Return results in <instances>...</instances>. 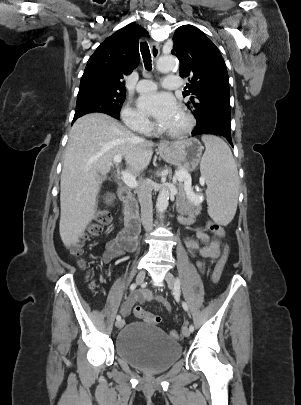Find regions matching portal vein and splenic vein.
Here are the masks:
<instances>
[{
	"mask_svg": "<svg viewBox=\"0 0 301 405\" xmlns=\"http://www.w3.org/2000/svg\"><path fill=\"white\" fill-rule=\"evenodd\" d=\"M113 161L118 164L122 161V156L121 155H115L113 158ZM121 178L123 180V182L129 187V188H135L138 186V183L136 181L135 176H133L131 173L127 172V171H122L121 172ZM175 178L178 181H185L186 183H191V176L190 174H188V172L186 171H177L175 173ZM176 182V180L174 181ZM201 184L203 183V179L200 180ZM186 194L188 195V197L197 203L202 202V198L195 194L192 190V188H187L186 189Z\"/></svg>",
	"mask_w": 301,
	"mask_h": 405,
	"instance_id": "obj_1",
	"label": "portal vein and splenic vein"
}]
</instances>
